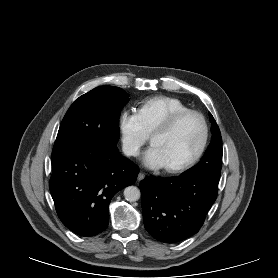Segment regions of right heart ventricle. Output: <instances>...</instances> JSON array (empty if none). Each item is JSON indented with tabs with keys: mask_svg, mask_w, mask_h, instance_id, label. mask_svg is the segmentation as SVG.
Returning a JSON list of instances; mask_svg holds the SVG:
<instances>
[{
	"mask_svg": "<svg viewBox=\"0 0 278 278\" xmlns=\"http://www.w3.org/2000/svg\"><path fill=\"white\" fill-rule=\"evenodd\" d=\"M189 110L181 100L169 96H155L140 102L137 113L148 133L178 112Z\"/></svg>",
	"mask_w": 278,
	"mask_h": 278,
	"instance_id": "obj_1",
	"label": "right heart ventricle"
}]
</instances>
